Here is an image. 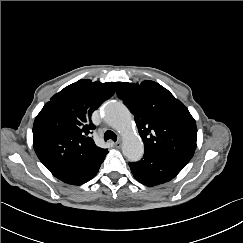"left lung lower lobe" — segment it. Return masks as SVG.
Listing matches in <instances>:
<instances>
[{"label": "left lung lower lobe", "mask_w": 243, "mask_h": 243, "mask_svg": "<svg viewBox=\"0 0 243 243\" xmlns=\"http://www.w3.org/2000/svg\"><path fill=\"white\" fill-rule=\"evenodd\" d=\"M190 159L185 156L145 150L143 159L135 163L129 162V166L137 181L153 187L173 179Z\"/></svg>", "instance_id": "left-lung-lower-lobe-1"}]
</instances>
